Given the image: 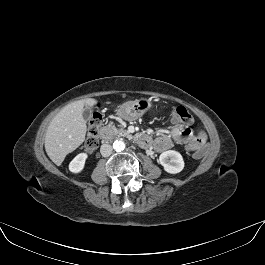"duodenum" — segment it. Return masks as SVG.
Segmentation results:
<instances>
[{"label": "duodenum", "instance_id": "410a0bca", "mask_svg": "<svg viewBox=\"0 0 265 265\" xmlns=\"http://www.w3.org/2000/svg\"><path fill=\"white\" fill-rule=\"evenodd\" d=\"M100 137L103 140H107L112 135V130L110 127L104 126L100 129ZM136 141L141 146H149L150 145V136L148 134L142 133L136 137Z\"/></svg>", "mask_w": 265, "mask_h": 265}]
</instances>
